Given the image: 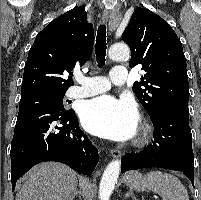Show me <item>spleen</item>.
<instances>
[{"label": "spleen", "instance_id": "spleen-1", "mask_svg": "<svg viewBox=\"0 0 201 200\" xmlns=\"http://www.w3.org/2000/svg\"><path fill=\"white\" fill-rule=\"evenodd\" d=\"M145 181L148 189L159 194L163 200H189L184 185L170 173L153 170L145 176Z\"/></svg>", "mask_w": 201, "mask_h": 200}]
</instances>
